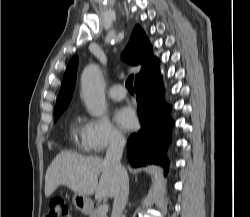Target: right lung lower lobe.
I'll use <instances>...</instances> for the list:
<instances>
[{
  "instance_id": "obj_1",
  "label": "right lung lower lobe",
  "mask_w": 250,
  "mask_h": 217,
  "mask_svg": "<svg viewBox=\"0 0 250 217\" xmlns=\"http://www.w3.org/2000/svg\"><path fill=\"white\" fill-rule=\"evenodd\" d=\"M135 91L141 129L127 141L129 161L132 166L160 164L167 170L166 150L174 123L162 95L159 61L136 78Z\"/></svg>"
}]
</instances>
